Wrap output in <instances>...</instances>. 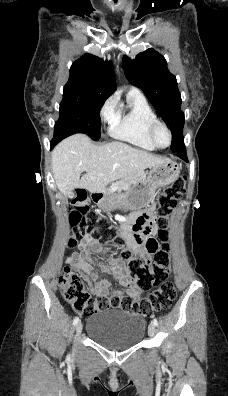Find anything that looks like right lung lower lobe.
I'll list each match as a JSON object with an SVG mask.
<instances>
[{
  "instance_id": "right-lung-lower-lobe-1",
  "label": "right lung lower lobe",
  "mask_w": 228,
  "mask_h": 396,
  "mask_svg": "<svg viewBox=\"0 0 228 396\" xmlns=\"http://www.w3.org/2000/svg\"><path fill=\"white\" fill-rule=\"evenodd\" d=\"M61 140H62L61 138L54 136L53 140L50 143L51 148H53Z\"/></svg>"
}]
</instances>
